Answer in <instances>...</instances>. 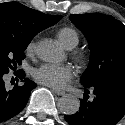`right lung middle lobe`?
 <instances>
[{
  "instance_id": "obj_1",
  "label": "right lung middle lobe",
  "mask_w": 125,
  "mask_h": 125,
  "mask_svg": "<svg viewBox=\"0 0 125 125\" xmlns=\"http://www.w3.org/2000/svg\"><path fill=\"white\" fill-rule=\"evenodd\" d=\"M31 40L18 39L0 33V72L15 70L17 64L25 58L24 50Z\"/></svg>"
}]
</instances>
